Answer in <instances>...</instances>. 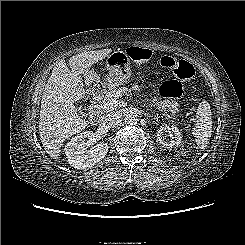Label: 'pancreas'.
<instances>
[{"label": "pancreas", "instance_id": "pancreas-1", "mask_svg": "<svg viewBox=\"0 0 245 245\" xmlns=\"http://www.w3.org/2000/svg\"><path fill=\"white\" fill-rule=\"evenodd\" d=\"M127 91H129V90L126 87H121L118 90L108 91L104 95L102 101H109L111 99H118L123 94H125ZM151 106L156 107L158 110H160L161 112L166 113V114L170 111V108H171V105L169 103H167L166 101H162L160 99H157L156 97L152 98Z\"/></svg>", "mask_w": 245, "mask_h": 245}]
</instances>
